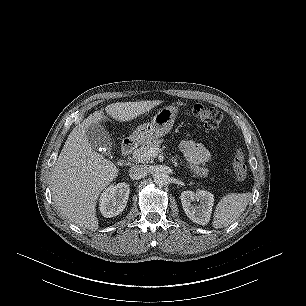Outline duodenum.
<instances>
[{
	"label": "duodenum",
	"mask_w": 306,
	"mask_h": 306,
	"mask_svg": "<svg viewBox=\"0 0 306 306\" xmlns=\"http://www.w3.org/2000/svg\"><path fill=\"white\" fill-rule=\"evenodd\" d=\"M135 148V141L126 139L121 146V153L124 157L129 156Z\"/></svg>",
	"instance_id": "1"
}]
</instances>
